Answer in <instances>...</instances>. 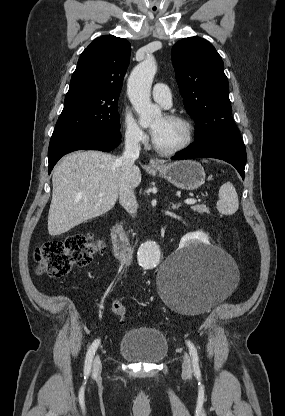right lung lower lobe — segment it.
<instances>
[{"mask_svg":"<svg viewBox=\"0 0 285 416\" xmlns=\"http://www.w3.org/2000/svg\"><path fill=\"white\" fill-rule=\"evenodd\" d=\"M120 139V132L89 130L54 131L48 149L49 174L57 161L67 153L84 149L110 151L120 143Z\"/></svg>","mask_w":285,"mask_h":416,"instance_id":"1","label":"right lung lower lobe"}]
</instances>
